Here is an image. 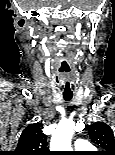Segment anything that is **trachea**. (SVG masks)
<instances>
[{
  "label": "trachea",
  "instance_id": "obj_1",
  "mask_svg": "<svg viewBox=\"0 0 115 155\" xmlns=\"http://www.w3.org/2000/svg\"><path fill=\"white\" fill-rule=\"evenodd\" d=\"M62 96L64 97L65 101L71 100L73 96V90H70V87H63Z\"/></svg>",
  "mask_w": 115,
  "mask_h": 155
}]
</instances>
